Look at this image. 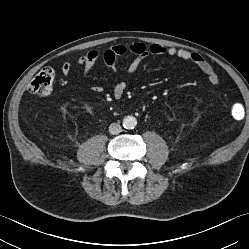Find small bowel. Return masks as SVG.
<instances>
[{"label":"small bowel","instance_id":"c3829d8e","mask_svg":"<svg viewBox=\"0 0 249 249\" xmlns=\"http://www.w3.org/2000/svg\"><path fill=\"white\" fill-rule=\"evenodd\" d=\"M125 55L134 56V60L125 71L126 77L132 76L140 62L152 55L169 56L172 58L193 62L207 76L212 84H217L219 82L218 76L215 73L213 66L202 55L176 47H165L160 44H153L148 48L143 43L138 42L125 45H111L106 47L103 51L96 49L90 50L85 55L80 56L77 59V62L83 67V76L87 77L97 60L102 57L109 71L114 75H118L116 66L117 60L118 58ZM61 72L66 77L70 76L72 72L71 62H64L61 65ZM91 89L97 93L103 90V88L99 85H92ZM126 89V80L124 78H119L112 90L113 98H121Z\"/></svg>","mask_w":249,"mask_h":249}]
</instances>
